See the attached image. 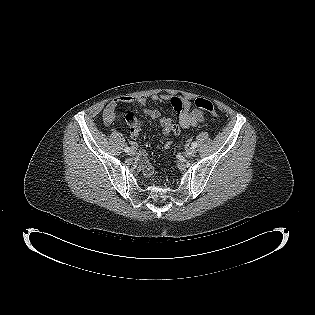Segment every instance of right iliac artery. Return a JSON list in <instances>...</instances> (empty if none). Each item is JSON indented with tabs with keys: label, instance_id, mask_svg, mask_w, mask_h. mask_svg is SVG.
<instances>
[{
	"label": "right iliac artery",
	"instance_id": "obj_1",
	"mask_svg": "<svg viewBox=\"0 0 315 315\" xmlns=\"http://www.w3.org/2000/svg\"><path fill=\"white\" fill-rule=\"evenodd\" d=\"M124 151L128 153L130 151V148L129 147H125Z\"/></svg>",
	"mask_w": 315,
	"mask_h": 315
}]
</instances>
